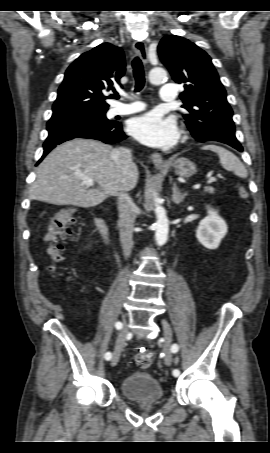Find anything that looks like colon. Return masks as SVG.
<instances>
[{
  "label": "colon",
  "instance_id": "obj_1",
  "mask_svg": "<svg viewBox=\"0 0 270 453\" xmlns=\"http://www.w3.org/2000/svg\"><path fill=\"white\" fill-rule=\"evenodd\" d=\"M239 197L245 203L248 202L249 193L243 186L239 187ZM74 207H65L55 213L49 223L45 241L47 242V254L53 262H59L62 259V245L71 233V225L75 222ZM136 365L140 369H147L152 363V354L148 351H140L135 356Z\"/></svg>",
  "mask_w": 270,
  "mask_h": 453
}]
</instances>
